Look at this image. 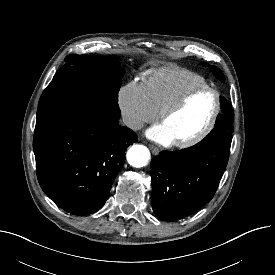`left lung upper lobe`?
I'll return each instance as SVG.
<instances>
[{
	"mask_svg": "<svg viewBox=\"0 0 275 275\" xmlns=\"http://www.w3.org/2000/svg\"><path fill=\"white\" fill-rule=\"evenodd\" d=\"M203 65L207 66L208 64L203 63ZM211 69L218 78L224 81V75L219 68L216 66H211ZM220 107L222 109V115H220L221 118H217L214 129L211 132L224 130L232 133L234 117L231 104L224 97H221Z\"/></svg>",
	"mask_w": 275,
	"mask_h": 275,
	"instance_id": "1",
	"label": "left lung upper lobe"
}]
</instances>
